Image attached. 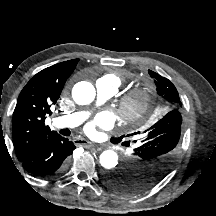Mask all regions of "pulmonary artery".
Here are the masks:
<instances>
[{"mask_svg": "<svg viewBox=\"0 0 216 216\" xmlns=\"http://www.w3.org/2000/svg\"><path fill=\"white\" fill-rule=\"evenodd\" d=\"M115 82L109 78H100L96 81L97 101L102 103L111 98L117 91ZM87 117L86 112H76L66 116L56 117L54 124L57 127L73 128L80 125Z\"/></svg>", "mask_w": 216, "mask_h": 216, "instance_id": "pulmonary-artery-1", "label": "pulmonary artery"}]
</instances>
